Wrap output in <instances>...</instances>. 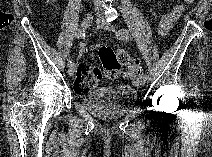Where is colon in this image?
Returning a JSON list of instances; mask_svg holds the SVG:
<instances>
[{
    "label": "colon",
    "instance_id": "1",
    "mask_svg": "<svg viewBox=\"0 0 212 157\" xmlns=\"http://www.w3.org/2000/svg\"><path fill=\"white\" fill-rule=\"evenodd\" d=\"M99 58L101 68L97 66H79L75 81V91L77 93H86L97 85L102 75L110 79L118 78L124 69L131 68L127 72V76L132 78L138 76L141 69L134 64L132 57L124 50L114 49L110 46H102L99 49Z\"/></svg>",
    "mask_w": 212,
    "mask_h": 157
}]
</instances>
